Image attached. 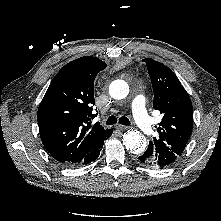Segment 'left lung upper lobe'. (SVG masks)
<instances>
[{
    "mask_svg": "<svg viewBox=\"0 0 221 221\" xmlns=\"http://www.w3.org/2000/svg\"><path fill=\"white\" fill-rule=\"evenodd\" d=\"M154 91V109L163 114L157 127L158 137L145 152H152L163 167L170 166L184 151L193 127V108L188 93L176 75L164 64L143 59Z\"/></svg>",
    "mask_w": 221,
    "mask_h": 221,
    "instance_id": "left-lung-upper-lobe-1",
    "label": "left lung upper lobe"
}]
</instances>
